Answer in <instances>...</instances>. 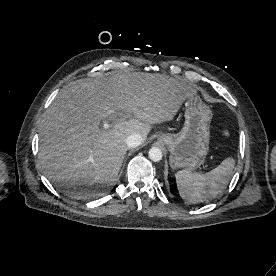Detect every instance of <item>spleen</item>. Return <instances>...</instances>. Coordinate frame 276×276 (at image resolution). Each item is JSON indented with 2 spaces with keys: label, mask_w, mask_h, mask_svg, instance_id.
Masks as SVG:
<instances>
[{
  "label": "spleen",
  "mask_w": 276,
  "mask_h": 276,
  "mask_svg": "<svg viewBox=\"0 0 276 276\" xmlns=\"http://www.w3.org/2000/svg\"><path fill=\"white\" fill-rule=\"evenodd\" d=\"M235 167L231 157L224 159L215 169L202 173L187 170L175 174L177 188L182 199L190 203H198L215 198L227 186Z\"/></svg>",
  "instance_id": "obj_1"
}]
</instances>
